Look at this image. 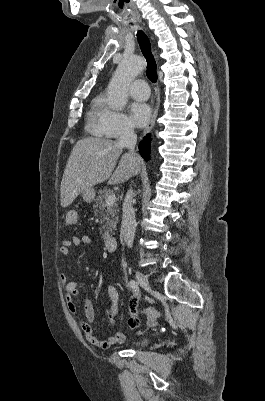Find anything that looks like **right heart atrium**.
I'll use <instances>...</instances> for the list:
<instances>
[{"mask_svg":"<svg viewBox=\"0 0 265 401\" xmlns=\"http://www.w3.org/2000/svg\"><path fill=\"white\" fill-rule=\"evenodd\" d=\"M99 129L109 137L125 138L134 133V125L119 110L104 103L100 114L97 116Z\"/></svg>","mask_w":265,"mask_h":401,"instance_id":"d8ad5b80","label":"right heart atrium"}]
</instances>
